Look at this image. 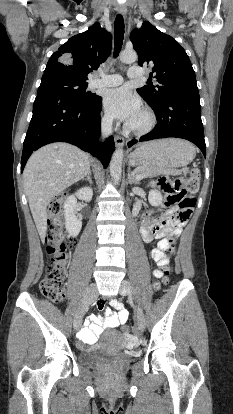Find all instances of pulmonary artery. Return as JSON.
Returning a JSON list of instances; mask_svg holds the SVG:
<instances>
[{
	"label": "pulmonary artery",
	"mask_w": 233,
	"mask_h": 414,
	"mask_svg": "<svg viewBox=\"0 0 233 414\" xmlns=\"http://www.w3.org/2000/svg\"><path fill=\"white\" fill-rule=\"evenodd\" d=\"M99 78L92 82L93 87H113L122 84L123 77L119 74H104L101 72ZM144 76V72L139 67H131L128 70V77L131 79H139Z\"/></svg>",
	"instance_id": "obj_1"
}]
</instances>
